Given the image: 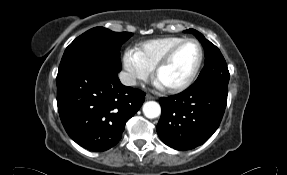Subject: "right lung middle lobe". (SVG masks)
<instances>
[{
	"mask_svg": "<svg viewBox=\"0 0 287 175\" xmlns=\"http://www.w3.org/2000/svg\"><path fill=\"white\" fill-rule=\"evenodd\" d=\"M133 34L95 27L77 37L65 50L58 73L80 65H93L111 72L121 70L120 47Z\"/></svg>",
	"mask_w": 287,
	"mask_h": 175,
	"instance_id": "obj_1",
	"label": "right lung middle lobe"
}]
</instances>
